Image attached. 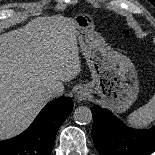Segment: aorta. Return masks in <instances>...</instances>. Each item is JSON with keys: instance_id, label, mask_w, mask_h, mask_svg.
<instances>
[{"instance_id": "762f6f07", "label": "aorta", "mask_w": 155, "mask_h": 155, "mask_svg": "<svg viewBox=\"0 0 155 155\" xmlns=\"http://www.w3.org/2000/svg\"><path fill=\"white\" fill-rule=\"evenodd\" d=\"M74 121L81 125L89 124L92 121L91 110L86 106H79L73 114Z\"/></svg>"}]
</instances>
